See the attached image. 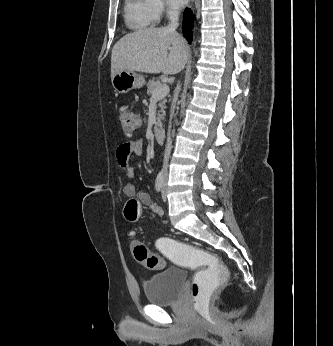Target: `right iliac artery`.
I'll return each instance as SVG.
<instances>
[{"label":"right iliac artery","instance_id":"right-iliac-artery-1","mask_svg":"<svg viewBox=\"0 0 333 346\" xmlns=\"http://www.w3.org/2000/svg\"><path fill=\"white\" fill-rule=\"evenodd\" d=\"M164 186V172L160 171L157 175L156 181H155V188L157 192L162 191V188Z\"/></svg>","mask_w":333,"mask_h":346}]
</instances>
